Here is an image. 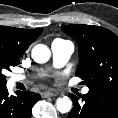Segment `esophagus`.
<instances>
[{"label": "esophagus", "mask_w": 118, "mask_h": 118, "mask_svg": "<svg viewBox=\"0 0 118 118\" xmlns=\"http://www.w3.org/2000/svg\"><path fill=\"white\" fill-rule=\"evenodd\" d=\"M57 95H58L57 92H52V91H45V92L42 93V96L44 98H46V97H54V96H57Z\"/></svg>", "instance_id": "obj_1"}]
</instances>
